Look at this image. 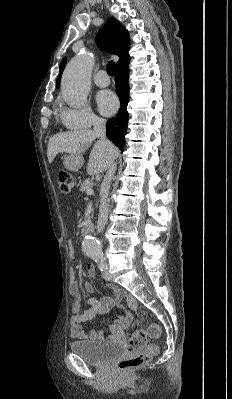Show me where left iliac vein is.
<instances>
[{"label":"left iliac vein","mask_w":232,"mask_h":399,"mask_svg":"<svg viewBox=\"0 0 232 399\" xmlns=\"http://www.w3.org/2000/svg\"><path fill=\"white\" fill-rule=\"evenodd\" d=\"M103 279L107 282L110 283L111 279H110V272H103L102 273Z\"/></svg>","instance_id":"1"}]
</instances>
